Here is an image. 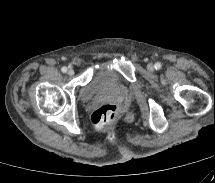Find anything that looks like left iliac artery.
Segmentation results:
<instances>
[{"label": "left iliac artery", "instance_id": "44dca946", "mask_svg": "<svg viewBox=\"0 0 215 183\" xmlns=\"http://www.w3.org/2000/svg\"><path fill=\"white\" fill-rule=\"evenodd\" d=\"M161 67H162V65H161L160 62L155 63V69H156V70L161 69Z\"/></svg>", "mask_w": 215, "mask_h": 183}]
</instances>
